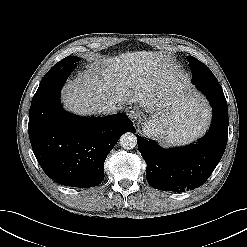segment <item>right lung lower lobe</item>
<instances>
[{"label":"right lung lower lobe","mask_w":247,"mask_h":247,"mask_svg":"<svg viewBox=\"0 0 247 247\" xmlns=\"http://www.w3.org/2000/svg\"><path fill=\"white\" fill-rule=\"evenodd\" d=\"M72 70H49L32 99L28 132L44 172L65 186L94 187L104 179V162L119 138L135 131L125 114L81 118L67 113L60 90Z\"/></svg>","instance_id":"98d812e1"}]
</instances>
